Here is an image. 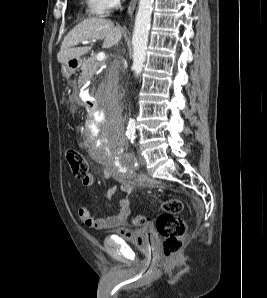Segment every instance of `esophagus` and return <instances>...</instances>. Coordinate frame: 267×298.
I'll return each mask as SVG.
<instances>
[{
    "instance_id": "1",
    "label": "esophagus",
    "mask_w": 267,
    "mask_h": 298,
    "mask_svg": "<svg viewBox=\"0 0 267 298\" xmlns=\"http://www.w3.org/2000/svg\"><path fill=\"white\" fill-rule=\"evenodd\" d=\"M138 0H131L129 6H128V15L131 17L133 15V12L135 10L136 4Z\"/></svg>"
}]
</instances>
